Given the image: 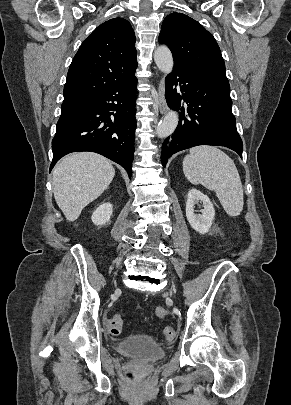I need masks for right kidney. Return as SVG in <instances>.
<instances>
[{
    "label": "right kidney",
    "mask_w": 291,
    "mask_h": 405,
    "mask_svg": "<svg viewBox=\"0 0 291 405\" xmlns=\"http://www.w3.org/2000/svg\"><path fill=\"white\" fill-rule=\"evenodd\" d=\"M113 206L111 203H103L93 212L91 220L95 225L101 226L110 221Z\"/></svg>",
    "instance_id": "obj_1"
}]
</instances>
